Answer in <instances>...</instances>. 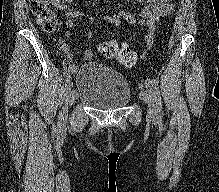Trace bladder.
I'll list each match as a JSON object with an SVG mask.
<instances>
[{"instance_id": "1", "label": "bladder", "mask_w": 219, "mask_h": 192, "mask_svg": "<svg viewBox=\"0 0 219 192\" xmlns=\"http://www.w3.org/2000/svg\"><path fill=\"white\" fill-rule=\"evenodd\" d=\"M76 82V98L96 110L122 109L132 98L127 79L101 63L90 62L80 67Z\"/></svg>"}]
</instances>
